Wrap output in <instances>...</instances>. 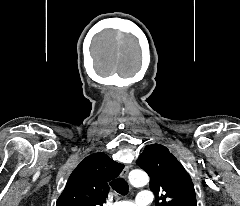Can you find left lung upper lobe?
I'll list each match as a JSON object with an SVG mask.
<instances>
[{"mask_svg": "<svg viewBox=\"0 0 240 206\" xmlns=\"http://www.w3.org/2000/svg\"><path fill=\"white\" fill-rule=\"evenodd\" d=\"M137 164L150 176L156 206H197L189 174L165 146L147 145Z\"/></svg>", "mask_w": 240, "mask_h": 206, "instance_id": "1", "label": "left lung upper lobe"}]
</instances>
